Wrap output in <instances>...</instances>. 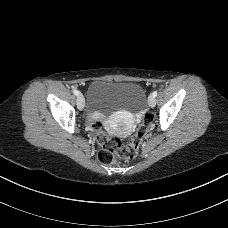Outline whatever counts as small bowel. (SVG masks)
I'll return each mask as SVG.
<instances>
[{"label":"small bowel","instance_id":"obj_1","mask_svg":"<svg viewBox=\"0 0 228 228\" xmlns=\"http://www.w3.org/2000/svg\"><path fill=\"white\" fill-rule=\"evenodd\" d=\"M98 140L99 141H102L104 139V133L103 132H100L97 136Z\"/></svg>","mask_w":228,"mask_h":228}]
</instances>
